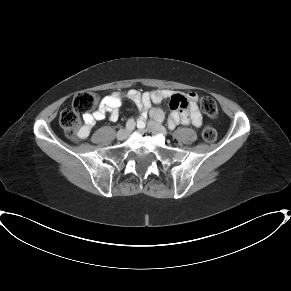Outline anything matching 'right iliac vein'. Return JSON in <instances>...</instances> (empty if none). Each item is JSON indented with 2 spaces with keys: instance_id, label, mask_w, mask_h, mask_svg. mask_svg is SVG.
<instances>
[{
  "instance_id": "right-iliac-vein-1",
  "label": "right iliac vein",
  "mask_w": 291,
  "mask_h": 291,
  "mask_svg": "<svg viewBox=\"0 0 291 291\" xmlns=\"http://www.w3.org/2000/svg\"><path fill=\"white\" fill-rule=\"evenodd\" d=\"M129 136V131L127 129H121L117 133L118 140H125Z\"/></svg>"
}]
</instances>
